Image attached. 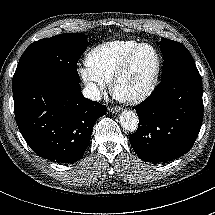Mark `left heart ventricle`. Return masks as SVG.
Wrapping results in <instances>:
<instances>
[{
	"label": "left heart ventricle",
	"instance_id": "obj_1",
	"mask_svg": "<svg viewBox=\"0 0 215 215\" xmlns=\"http://www.w3.org/2000/svg\"><path fill=\"white\" fill-rule=\"evenodd\" d=\"M156 63L154 50L149 46L140 48L135 54L130 67L120 80L117 92L124 97H131L138 93L153 71Z\"/></svg>",
	"mask_w": 215,
	"mask_h": 215
}]
</instances>
